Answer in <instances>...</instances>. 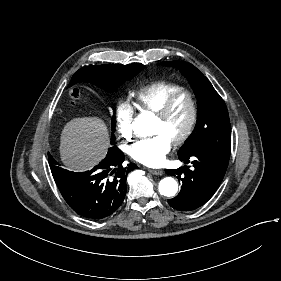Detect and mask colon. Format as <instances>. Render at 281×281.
<instances>
[{
	"mask_svg": "<svg viewBox=\"0 0 281 281\" xmlns=\"http://www.w3.org/2000/svg\"><path fill=\"white\" fill-rule=\"evenodd\" d=\"M72 103L74 105H80L84 102L85 100V95H83L81 92L77 91V90H74L72 92Z\"/></svg>",
	"mask_w": 281,
	"mask_h": 281,
	"instance_id": "obj_1",
	"label": "colon"
}]
</instances>
